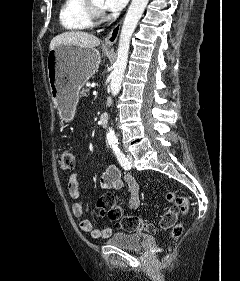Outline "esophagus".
Here are the masks:
<instances>
[{
	"instance_id": "34e87169",
	"label": "esophagus",
	"mask_w": 240,
	"mask_h": 281,
	"mask_svg": "<svg viewBox=\"0 0 240 281\" xmlns=\"http://www.w3.org/2000/svg\"><path fill=\"white\" fill-rule=\"evenodd\" d=\"M121 25H122V19L113 26V28L105 38L104 44L106 46H112L113 44H115L120 32Z\"/></svg>"
}]
</instances>
